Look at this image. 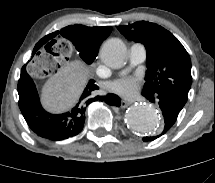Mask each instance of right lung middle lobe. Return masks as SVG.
Segmentation results:
<instances>
[{"label": "right lung middle lobe", "instance_id": "dd1d6c3e", "mask_svg": "<svg viewBox=\"0 0 215 183\" xmlns=\"http://www.w3.org/2000/svg\"><path fill=\"white\" fill-rule=\"evenodd\" d=\"M71 26V25H70ZM74 29L70 30L67 35V39H69L80 53V57L87 63L91 64L97 54L90 52L85 46L83 37L84 32L81 25H73Z\"/></svg>", "mask_w": 215, "mask_h": 183}]
</instances>
